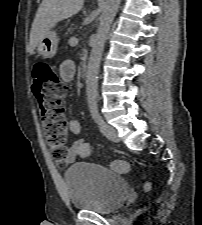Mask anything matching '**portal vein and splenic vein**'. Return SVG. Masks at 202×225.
I'll return each instance as SVG.
<instances>
[{
  "instance_id": "18ae733b",
  "label": "portal vein and splenic vein",
  "mask_w": 202,
  "mask_h": 225,
  "mask_svg": "<svg viewBox=\"0 0 202 225\" xmlns=\"http://www.w3.org/2000/svg\"><path fill=\"white\" fill-rule=\"evenodd\" d=\"M69 43H70V45H77L78 44V39L76 38V37H71L70 39H69Z\"/></svg>"
}]
</instances>
